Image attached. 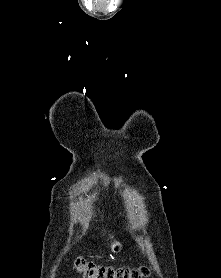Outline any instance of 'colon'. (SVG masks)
<instances>
[{
  "label": "colon",
  "mask_w": 221,
  "mask_h": 278,
  "mask_svg": "<svg viewBox=\"0 0 221 278\" xmlns=\"http://www.w3.org/2000/svg\"><path fill=\"white\" fill-rule=\"evenodd\" d=\"M75 267L84 275V278H148L149 270L146 266L140 268L113 267L97 265L84 259H76Z\"/></svg>",
  "instance_id": "colon-1"
}]
</instances>
